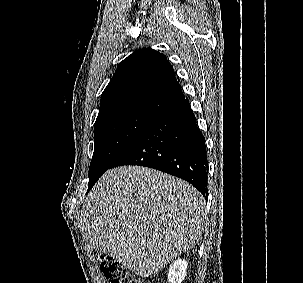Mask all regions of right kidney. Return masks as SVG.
Returning a JSON list of instances; mask_svg holds the SVG:
<instances>
[{"label": "right kidney", "instance_id": "right-kidney-1", "mask_svg": "<svg viewBox=\"0 0 303 283\" xmlns=\"http://www.w3.org/2000/svg\"><path fill=\"white\" fill-rule=\"evenodd\" d=\"M187 261L179 259L170 265L168 272L169 283H182L187 274Z\"/></svg>", "mask_w": 303, "mask_h": 283}]
</instances>
